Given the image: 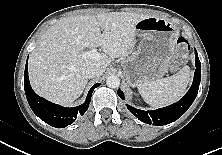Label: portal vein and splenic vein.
I'll return each mask as SVG.
<instances>
[{
	"label": "portal vein and splenic vein",
	"instance_id": "1",
	"mask_svg": "<svg viewBox=\"0 0 222 155\" xmlns=\"http://www.w3.org/2000/svg\"><path fill=\"white\" fill-rule=\"evenodd\" d=\"M83 58L87 59H93V60H100L101 54L97 51V49L93 48L89 52H85L82 55Z\"/></svg>",
	"mask_w": 222,
	"mask_h": 155
}]
</instances>
